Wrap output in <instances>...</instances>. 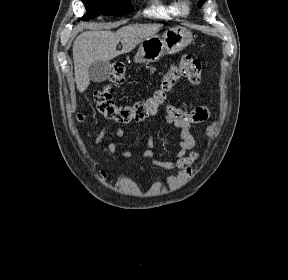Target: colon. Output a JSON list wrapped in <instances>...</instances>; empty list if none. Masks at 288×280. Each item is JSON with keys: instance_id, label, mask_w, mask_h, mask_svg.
<instances>
[{"instance_id": "1", "label": "colon", "mask_w": 288, "mask_h": 280, "mask_svg": "<svg viewBox=\"0 0 288 280\" xmlns=\"http://www.w3.org/2000/svg\"><path fill=\"white\" fill-rule=\"evenodd\" d=\"M180 79L191 84H200L203 81L202 66L192 55H184L180 61L170 65L162 75L160 87L151 96L132 104L118 105L112 98L113 87L124 83L125 69L121 64H115L110 82L95 93L97 108L105 117L120 123L143 120L157 113L166 100L167 92Z\"/></svg>"}]
</instances>
